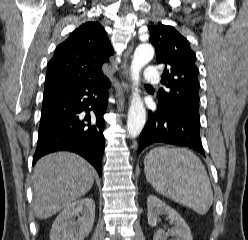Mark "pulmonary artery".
<instances>
[{
	"mask_svg": "<svg viewBox=\"0 0 248 240\" xmlns=\"http://www.w3.org/2000/svg\"><path fill=\"white\" fill-rule=\"evenodd\" d=\"M144 80L148 83H157L160 80V72L157 69L150 67L144 73Z\"/></svg>",
	"mask_w": 248,
	"mask_h": 240,
	"instance_id": "1",
	"label": "pulmonary artery"
}]
</instances>
